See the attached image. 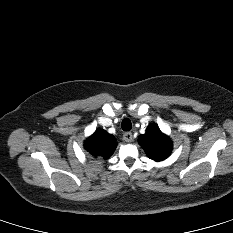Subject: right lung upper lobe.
I'll return each instance as SVG.
<instances>
[{"label":"right lung upper lobe","mask_w":233,"mask_h":233,"mask_svg":"<svg viewBox=\"0 0 233 233\" xmlns=\"http://www.w3.org/2000/svg\"><path fill=\"white\" fill-rule=\"evenodd\" d=\"M86 151L95 159H108L116 148L115 138L105 130H97L84 144Z\"/></svg>","instance_id":"cb5924a9"}]
</instances>
